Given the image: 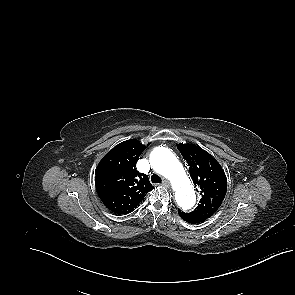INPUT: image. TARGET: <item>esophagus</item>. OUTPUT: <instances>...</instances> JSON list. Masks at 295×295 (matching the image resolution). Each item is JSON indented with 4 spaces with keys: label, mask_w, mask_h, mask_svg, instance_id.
<instances>
[{
    "label": "esophagus",
    "mask_w": 295,
    "mask_h": 295,
    "mask_svg": "<svg viewBox=\"0 0 295 295\" xmlns=\"http://www.w3.org/2000/svg\"><path fill=\"white\" fill-rule=\"evenodd\" d=\"M162 184L165 186V187H169L170 186V183L168 180H163Z\"/></svg>",
    "instance_id": "esophagus-1"
}]
</instances>
